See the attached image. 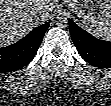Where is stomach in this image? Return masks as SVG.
Masks as SVG:
<instances>
[{
  "mask_svg": "<svg viewBox=\"0 0 111 106\" xmlns=\"http://www.w3.org/2000/svg\"><path fill=\"white\" fill-rule=\"evenodd\" d=\"M66 6L75 12L84 23L92 19H103L111 11V1L108 0H83V1H66Z\"/></svg>",
  "mask_w": 111,
  "mask_h": 106,
  "instance_id": "0dacf381",
  "label": "stomach"
}]
</instances>
